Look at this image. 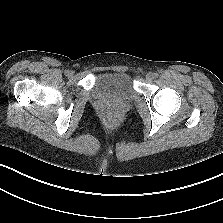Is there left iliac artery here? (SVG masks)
Here are the masks:
<instances>
[{"label":"left iliac artery","instance_id":"obj_1","mask_svg":"<svg viewBox=\"0 0 223 223\" xmlns=\"http://www.w3.org/2000/svg\"><path fill=\"white\" fill-rule=\"evenodd\" d=\"M154 77L157 78L158 77V73H154Z\"/></svg>","mask_w":223,"mask_h":223}]
</instances>
